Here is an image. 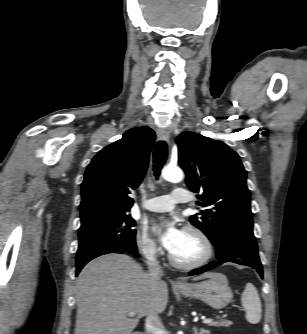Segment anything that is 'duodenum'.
I'll return each instance as SVG.
<instances>
[{
  "label": "duodenum",
  "instance_id": "410a0bca",
  "mask_svg": "<svg viewBox=\"0 0 307 334\" xmlns=\"http://www.w3.org/2000/svg\"><path fill=\"white\" fill-rule=\"evenodd\" d=\"M133 334H143V332H141V331H136V332H134Z\"/></svg>",
  "mask_w": 307,
  "mask_h": 334
}]
</instances>
